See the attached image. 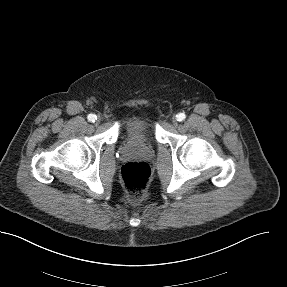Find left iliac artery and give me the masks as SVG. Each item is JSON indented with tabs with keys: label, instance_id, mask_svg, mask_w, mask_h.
Listing matches in <instances>:
<instances>
[{
	"label": "left iliac artery",
	"instance_id": "left-iliac-artery-1",
	"mask_svg": "<svg viewBox=\"0 0 287 287\" xmlns=\"http://www.w3.org/2000/svg\"><path fill=\"white\" fill-rule=\"evenodd\" d=\"M178 121H183L186 118L184 113H179L176 115Z\"/></svg>",
	"mask_w": 287,
	"mask_h": 287
}]
</instances>
